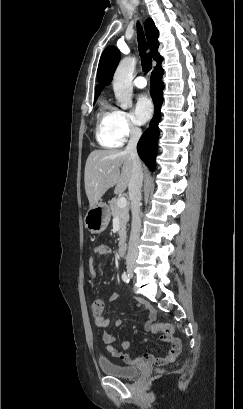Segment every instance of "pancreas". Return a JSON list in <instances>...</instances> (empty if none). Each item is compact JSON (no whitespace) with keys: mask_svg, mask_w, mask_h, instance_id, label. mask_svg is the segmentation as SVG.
<instances>
[{"mask_svg":"<svg viewBox=\"0 0 243 409\" xmlns=\"http://www.w3.org/2000/svg\"><path fill=\"white\" fill-rule=\"evenodd\" d=\"M117 200L118 198H113L109 204L111 215L113 217H119V241L123 242L126 239V225L129 221V206L127 205L124 208H119L117 206Z\"/></svg>","mask_w":243,"mask_h":409,"instance_id":"obj_1","label":"pancreas"}]
</instances>
